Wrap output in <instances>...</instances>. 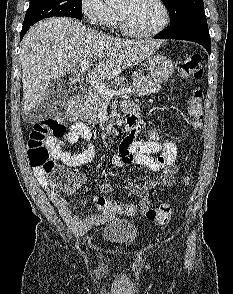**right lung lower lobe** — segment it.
<instances>
[{
    "label": "right lung lower lobe",
    "mask_w": 233,
    "mask_h": 294,
    "mask_svg": "<svg viewBox=\"0 0 233 294\" xmlns=\"http://www.w3.org/2000/svg\"><path fill=\"white\" fill-rule=\"evenodd\" d=\"M30 26H26L22 28L21 34H20V39L23 38L24 34L26 33V31L29 29Z\"/></svg>",
    "instance_id": "1"
}]
</instances>
